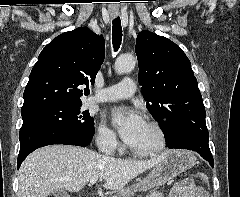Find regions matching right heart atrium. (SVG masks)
<instances>
[{"label": "right heart atrium", "mask_w": 240, "mask_h": 197, "mask_svg": "<svg viewBox=\"0 0 240 197\" xmlns=\"http://www.w3.org/2000/svg\"><path fill=\"white\" fill-rule=\"evenodd\" d=\"M96 143L102 151L109 154L114 153L119 147L115 132L105 124H101L98 128Z\"/></svg>", "instance_id": "d8ad5b80"}]
</instances>
